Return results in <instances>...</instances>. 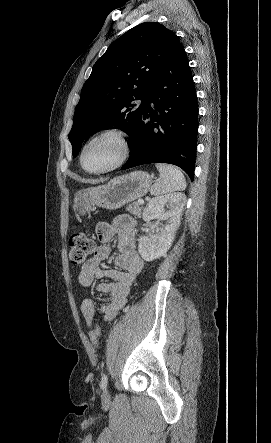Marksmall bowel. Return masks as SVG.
Segmentation results:
<instances>
[{"mask_svg": "<svg viewBox=\"0 0 271 443\" xmlns=\"http://www.w3.org/2000/svg\"><path fill=\"white\" fill-rule=\"evenodd\" d=\"M96 232L102 245L82 266L78 278L82 286H90L96 279H110V282L99 283L96 287L98 292L110 296V300L104 304H97L89 298L83 300L81 312L88 326L93 324L96 311L103 315V320L106 322L117 316L125 305L130 287L144 264L135 247L136 221L131 216H119L113 223L101 222ZM115 238L119 252L115 259L118 268H103L101 264L110 257V243Z\"/></svg>", "mask_w": 271, "mask_h": 443, "instance_id": "c3829d8e", "label": "small bowel"}]
</instances>
